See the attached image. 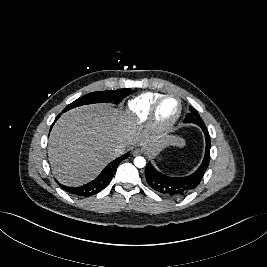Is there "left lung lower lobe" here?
<instances>
[{
	"mask_svg": "<svg viewBox=\"0 0 267 267\" xmlns=\"http://www.w3.org/2000/svg\"><path fill=\"white\" fill-rule=\"evenodd\" d=\"M200 127L205 134L206 149L201 165L193 174L184 177L167 176L156 170L150 162L147 163L146 180L156 192L167 197L179 198L191 193L199 185L210 160V136L205 125H200Z\"/></svg>",
	"mask_w": 267,
	"mask_h": 267,
	"instance_id": "1",
	"label": "left lung lower lobe"
}]
</instances>
